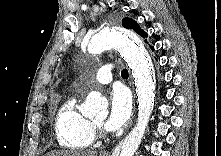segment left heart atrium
<instances>
[{
	"instance_id": "left-heart-atrium-1",
	"label": "left heart atrium",
	"mask_w": 221,
	"mask_h": 156,
	"mask_svg": "<svg viewBox=\"0 0 221 156\" xmlns=\"http://www.w3.org/2000/svg\"><path fill=\"white\" fill-rule=\"evenodd\" d=\"M110 110L105 122L108 131H117L129 120L132 100L129 92L122 87H115L110 93Z\"/></svg>"
}]
</instances>
